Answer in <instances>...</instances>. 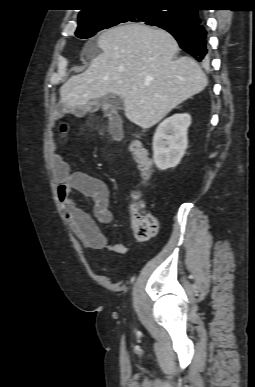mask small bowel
I'll list each match as a JSON object with an SVG mask.
<instances>
[{
	"label": "small bowel",
	"instance_id": "small-bowel-1",
	"mask_svg": "<svg viewBox=\"0 0 255 387\" xmlns=\"http://www.w3.org/2000/svg\"><path fill=\"white\" fill-rule=\"evenodd\" d=\"M60 117L61 113L58 112L56 118L59 119ZM110 131L116 140L122 138V129L119 121H111ZM67 134L68 125L61 123L60 135L54 136L52 140L51 156V166L58 182L57 197L64 219L71 231L84 246L125 254L127 247L121 243L111 242L109 237L101 231L97 224V221L110 224L114 218L109 205L110 191L108 186L102 180L89 174L72 171L58 151L60 145L66 143ZM73 191L92 198L94 202V217L76 205L71 197Z\"/></svg>",
	"mask_w": 255,
	"mask_h": 387
}]
</instances>
